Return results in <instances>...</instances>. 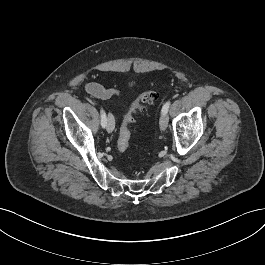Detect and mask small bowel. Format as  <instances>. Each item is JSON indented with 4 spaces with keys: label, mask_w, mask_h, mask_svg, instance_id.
I'll return each mask as SVG.
<instances>
[{
    "label": "small bowel",
    "mask_w": 265,
    "mask_h": 265,
    "mask_svg": "<svg viewBox=\"0 0 265 265\" xmlns=\"http://www.w3.org/2000/svg\"><path fill=\"white\" fill-rule=\"evenodd\" d=\"M85 91L92 97L99 99H109L120 95V91L116 88H105L102 85L93 82L85 85Z\"/></svg>",
    "instance_id": "obj_1"
}]
</instances>
